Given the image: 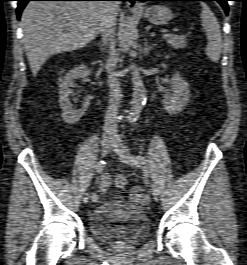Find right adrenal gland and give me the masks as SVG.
Here are the masks:
<instances>
[{"label": "right adrenal gland", "instance_id": "right-adrenal-gland-1", "mask_svg": "<svg viewBox=\"0 0 247 265\" xmlns=\"http://www.w3.org/2000/svg\"><path fill=\"white\" fill-rule=\"evenodd\" d=\"M99 46L101 48V51H103L105 46L103 44H99Z\"/></svg>", "mask_w": 247, "mask_h": 265}]
</instances>
